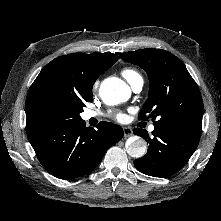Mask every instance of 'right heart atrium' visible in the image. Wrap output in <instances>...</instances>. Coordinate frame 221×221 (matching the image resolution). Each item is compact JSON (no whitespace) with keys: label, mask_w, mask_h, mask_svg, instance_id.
Segmentation results:
<instances>
[{"label":"right heart atrium","mask_w":221,"mask_h":221,"mask_svg":"<svg viewBox=\"0 0 221 221\" xmlns=\"http://www.w3.org/2000/svg\"><path fill=\"white\" fill-rule=\"evenodd\" d=\"M97 83H95L94 87H96Z\"/></svg>","instance_id":"1"}]
</instances>
